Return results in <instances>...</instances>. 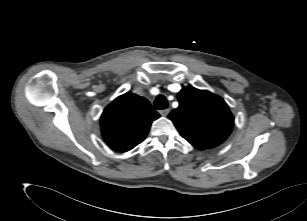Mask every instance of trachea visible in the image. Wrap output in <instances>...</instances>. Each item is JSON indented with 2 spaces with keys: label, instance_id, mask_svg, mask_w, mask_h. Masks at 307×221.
<instances>
[{
  "label": "trachea",
  "instance_id": "3493384b",
  "mask_svg": "<svg viewBox=\"0 0 307 221\" xmlns=\"http://www.w3.org/2000/svg\"><path fill=\"white\" fill-rule=\"evenodd\" d=\"M154 107L157 110H163L168 107L167 99L164 95H158L154 101Z\"/></svg>",
  "mask_w": 307,
  "mask_h": 221
}]
</instances>
